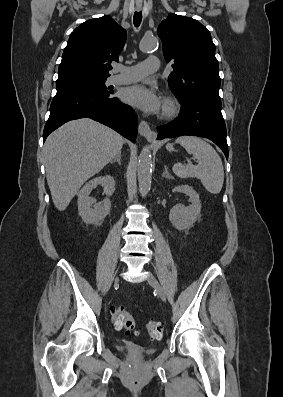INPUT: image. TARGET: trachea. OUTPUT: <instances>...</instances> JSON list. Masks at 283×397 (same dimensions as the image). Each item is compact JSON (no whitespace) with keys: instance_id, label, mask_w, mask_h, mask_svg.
Here are the masks:
<instances>
[{"instance_id":"1","label":"trachea","mask_w":283,"mask_h":397,"mask_svg":"<svg viewBox=\"0 0 283 397\" xmlns=\"http://www.w3.org/2000/svg\"><path fill=\"white\" fill-rule=\"evenodd\" d=\"M134 25L138 27L142 21V12H135L133 16Z\"/></svg>"}]
</instances>
